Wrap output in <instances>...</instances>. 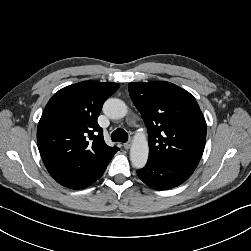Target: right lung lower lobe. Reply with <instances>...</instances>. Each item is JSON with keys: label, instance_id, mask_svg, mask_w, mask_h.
Segmentation results:
<instances>
[{"label": "right lung lower lobe", "instance_id": "1", "mask_svg": "<svg viewBox=\"0 0 251 251\" xmlns=\"http://www.w3.org/2000/svg\"><path fill=\"white\" fill-rule=\"evenodd\" d=\"M108 165V164H107ZM107 165L102 168L100 171H98L94 176L86 179V180H82V181H77L74 183H70V184H61L65 187L71 188V189H82L85 188L89 185H91L93 182H95L98 178H100L102 176V174L104 173Z\"/></svg>", "mask_w": 251, "mask_h": 251}]
</instances>
